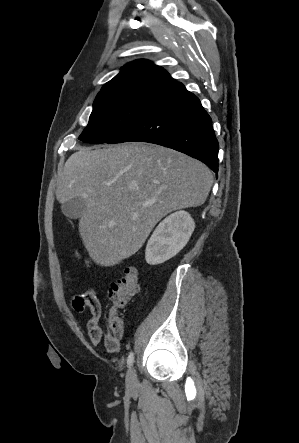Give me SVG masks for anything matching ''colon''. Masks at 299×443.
Here are the masks:
<instances>
[{
  "label": "colon",
  "instance_id": "colon-1",
  "mask_svg": "<svg viewBox=\"0 0 299 443\" xmlns=\"http://www.w3.org/2000/svg\"><path fill=\"white\" fill-rule=\"evenodd\" d=\"M77 254L80 256L79 252ZM85 260L90 264L88 259ZM138 289V270L135 266H128L121 277L111 284L107 298L112 306L106 315V328L109 334L119 336L122 333L124 322L123 318L117 314L116 309L123 307Z\"/></svg>",
  "mask_w": 299,
  "mask_h": 443
}]
</instances>
